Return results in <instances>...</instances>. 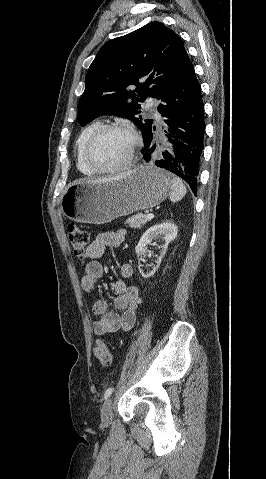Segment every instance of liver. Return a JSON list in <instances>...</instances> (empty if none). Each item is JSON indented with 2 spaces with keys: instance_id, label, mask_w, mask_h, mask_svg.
<instances>
[{
  "instance_id": "liver-1",
  "label": "liver",
  "mask_w": 266,
  "mask_h": 479,
  "mask_svg": "<svg viewBox=\"0 0 266 479\" xmlns=\"http://www.w3.org/2000/svg\"><path fill=\"white\" fill-rule=\"evenodd\" d=\"M127 175H129V173H123V174H120V175L115 176V177L102 178V179L89 180V181H91V182H106V181L118 180V179L126 177Z\"/></svg>"
}]
</instances>
